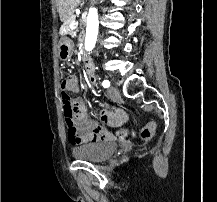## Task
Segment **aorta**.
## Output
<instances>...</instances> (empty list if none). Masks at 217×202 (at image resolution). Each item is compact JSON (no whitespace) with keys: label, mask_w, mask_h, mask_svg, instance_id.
Returning a JSON list of instances; mask_svg holds the SVG:
<instances>
[{"label":"aorta","mask_w":217,"mask_h":202,"mask_svg":"<svg viewBox=\"0 0 217 202\" xmlns=\"http://www.w3.org/2000/svg\"><path fill=\"white\" fill-rule=\"evenodd\" d=\"M99 20L96 8H91L87 16V28L85 38V50L86 52H92L97 36H98Z\"/></svg>","instance_id":"762f6f07"}]
</instances>
